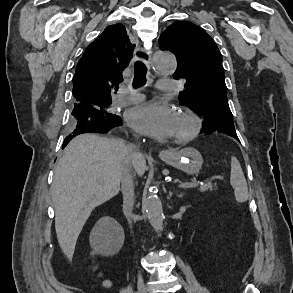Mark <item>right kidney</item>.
<instances>
[{
	"label": "right kidney",
	"instance_id": "1",
	"mask_svg": "<svg viewBox=\"0 0 293 293\" xmlns=\"http://www.w3.org/2000/svg\"><path fill=\"white\" fill-rule=\"evenodd\" d=\"M111 222L108 234L102 241L101 249L106 254L117 253L124 243V232L118 222L112 218H108Z\"/></svg>",
	"mask_w": 293,
	"mask_h": 293
}]
</instances>
